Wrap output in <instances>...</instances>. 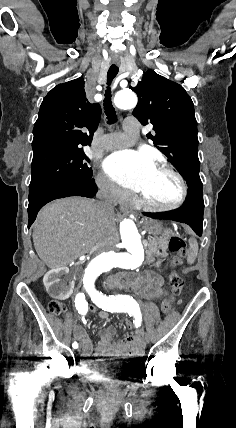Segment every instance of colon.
I'll return each mask as SVG.
<instances>
[{"mask_svg":"<svg viewBox=\"0 0 236 428\" xmlns=\"http://www.w3.org/2000/svg\"><path fill=\"white\" fill-rule=\"evenodd\" d=\"M168 248L171 252L177 254V256L173 260V267L169 274V285L172 289L173 295L169 298H166L162 301V311L165 314H169L173 312V301L174 296L179 294L184 286V279L178 274L176 270V266L181 263V258L186 254V244L184 239L179 235H172L169 239ZM48 309L53 315H63L65 313V308L58 301H49ZM126 327L132 328L133 323L131 320H127L125 322Z\"/></svg>","mask_w":236,"mask_h":428,"instance_id":"colon-1","label":"colon"}]
</instances>
